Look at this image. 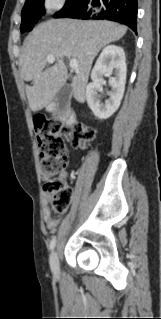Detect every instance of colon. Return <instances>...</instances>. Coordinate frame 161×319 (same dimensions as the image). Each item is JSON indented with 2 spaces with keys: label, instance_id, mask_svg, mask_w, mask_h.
<instances>
[{
  "label": "colon",
  "instance_id": "colon-1",
  "mask_svg": "<svg viewBox=\"0 0 161 319\" xmlns=\"http://www.w3.org/2000/svg\"><path fill=\"white\" fill-rule=\"evenodd\" d=\"M34 125L43 187L52 194V212L62 215L69 209L73 199L70 188L58 178L67 164V147L64 142L66 129L61 123L48 121L44 117H36ZM93 137L94 131L91 128L77 125L73 130L72 143L80 148Z\"/></svg>",
  "mask_w": 161,
  "mask_h": 319
}]
</instances>
